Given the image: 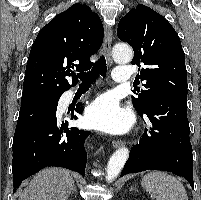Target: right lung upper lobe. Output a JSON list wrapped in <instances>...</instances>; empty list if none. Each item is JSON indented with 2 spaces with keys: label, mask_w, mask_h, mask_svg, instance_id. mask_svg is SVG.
<instances>
[{
  "label": "right lung upper lobe",
  "mask_w": 201,
  "mask_h": 200,
  "mask_svg": "<svg viewBox=\"0 0 201 200\" xmlns=\"http://www.w3.org/2000/svg\"><path fill=\"white\" fill-rule=\"evenodd\" d=\"M103 25L87 5L74 4L39 32L28 58L22 97L58 96L87 71L103 42ZM72 80V85L70 82Z\"/></svg>",
  "instance_id": "1"
}]
</instances>
